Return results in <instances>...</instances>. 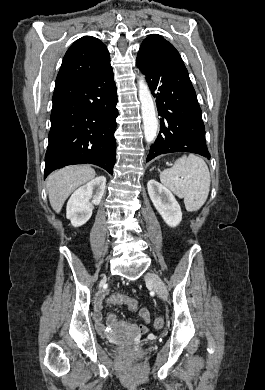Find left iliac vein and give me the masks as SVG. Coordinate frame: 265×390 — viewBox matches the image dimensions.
Returning <instances> with one entry per match:
<instances>
[{
  "instance_id": "1",
  "label": "left iliac vein",
  "mask_w": 265,
  "mask_h": 390,
  "mask_svg": "<svg viewBox=\"0 0 265 390\" xmlns=\"http://www.w3.org/2000/svg\"><path fill=\"white\" fill-rule=\"evenodd\" d=\"M145 281L153 286L159 297L167 300L168 293L166 286L158 275L149 272L145 275Z\"/></svg>"
}]
</instances>
